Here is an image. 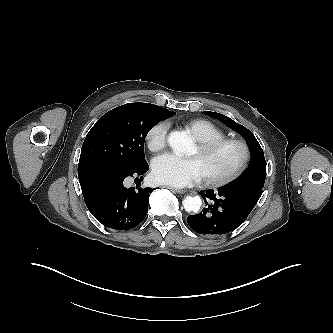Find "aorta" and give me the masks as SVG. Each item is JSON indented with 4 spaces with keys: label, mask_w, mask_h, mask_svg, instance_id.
<instances>
[{
    "label": "aorta",
    "mask_w": 333,
    "mask_h": 333,
    "mask_svg": "<svg viewBox=\"0 0 333 333\" xmlns=\"http://www.w3.org/2000/svg\"><path fill=\"white\" fill-rule=\"evenodd\" d=\"M168 144L177 155L188 154L193 146L192 139L181 131H172L168 136ZM201 205L202 200L199 196H187L183 200V206L187 212H198Z\"/></svg>",
    "instance_id": "obj_1"
}]
</instances>
